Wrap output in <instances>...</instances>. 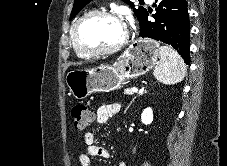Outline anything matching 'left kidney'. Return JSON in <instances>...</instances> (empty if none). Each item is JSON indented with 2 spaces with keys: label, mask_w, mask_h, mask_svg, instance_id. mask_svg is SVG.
Masks as SVG:
<instances>
[{
  "label": "left kidney",
  "mask_w": 227,
  "mask_h": 166,
  "mask_svg": "<svg viewBox=\"0 0 227 166\" xmlns=\"http://www.w3.org/2000/svg\"><path fill=\"white\" fill-rule=\"evenodd\" d=\"M141 121L145 125H149L153 121V111L150 107L144 109V111L141 114Z\"/></svg>",
  "instance_id": "5707ae66"
}]
</instances>
